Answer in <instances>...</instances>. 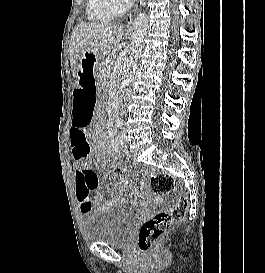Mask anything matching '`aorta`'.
<instances>
[{
  "label": "aorta",
  "instance_id": "obj_1",
  "mask_svg": "<svg viewBox=\"0 0 265 273\" xmlns=\"http://www.w3.org/2000/svg\"><path fill=\"white\" fill-rule=\"evenodd\" d=\"M148 31V17L146 13L137 14L133 22L132 41L130 57L126 68L122 73V86L127 87L134 79L137 62L142 53L143 45Z\"/></svg>",
  "mask_w": 265,
  "mask_h": 273
}]
</instances>
